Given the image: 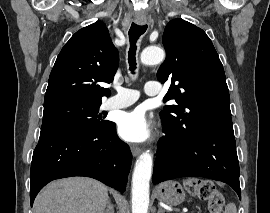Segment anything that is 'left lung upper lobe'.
I'll list each match as a JSON object with an SVG mask.
<instances>
[{
	"label": "left lung upper lobe",
	"instance_id": "obj_1",
	"mask_svg": "<svg viewBox=\"0 0 270 213\" xmlns=\"http://www.w3.org/2000/svg\"><path fill=\"white\" fill-rule=\"evenodd\" d=\"M162 41L166 59L157 78L172 80L164 101L178 104L161 111L165 127L179 135L197 126L233 129L223 65L206 33L177 18L165 27Z\"/></svg>",
	"mask_w": 270,
	"mask_h": 213
}]
</instances>
